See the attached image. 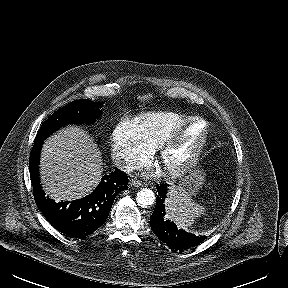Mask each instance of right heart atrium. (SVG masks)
<instances>
[{"mask_svg": "<svg viewBox=\"0 0 288 288\" xmlns=\"http://www.w3.org/2000/svg\"><path fill=\"white\" fill-rule=\"evenodd\" d=\"M153 149L137 121L123 120L114 128L112 151L121 168L130 170L145 164L152 157Z\"/></svg>", "mask_w": 288, "mask_h": 288, "instance_id": "1", "label": "right heart atrium"}]
</instances>
